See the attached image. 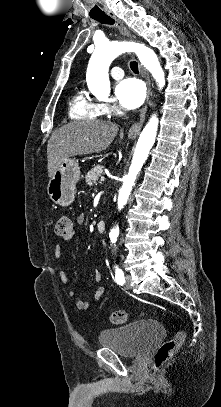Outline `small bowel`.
Listing matches in <instances>:
<instances>
[{"instance_id": "small-bowel-1", "label": "small bowel", "mask_w": 221, "mask_h": 407, "mask_svg": "<svg viewBox=\"0 0 221 407\" xmlns=\"http://www.w3.org/2000/svg\"><path fill=\"white\" fill-rule=\"evenodd\" d=\"M76 222H77V225H78V226L83 227V226L86 224V218H85V216H84L83 214H80V215L77 217V221H76ZM72 236H73V232H70V234L67 235L66 237H64L63 240H68V239H70ZM61 253H62V247H61V245H60V244H56V246H55V248H54V256L57 257V258H59V257L61 256ZM60 278H61V281H62L63 284H65V285L68 284V280H67L66 274H65L63 271L60 272ZM94 280H95V282H97V283L100 282V280H101V274H100V271H99V270H96V271H95V273H94ZM104 292H105V287H104L103 285L99 284V285L97 286V288H96V290H95V294H94V299H95V301H98V300L101 298V296L104 294ZM68 296H69L70 298H76L77 295H76V292H75L74 290H69V291H68ZM76 307H77V309L80 310V311H87V310H89V308H90V304H89L88 301H86V300H84V299H78V300L76 301Z\"/></svg>"}]
</instances>
